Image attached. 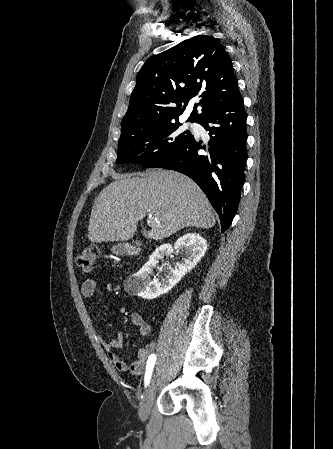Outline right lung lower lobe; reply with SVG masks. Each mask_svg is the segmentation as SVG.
<instances>
[{
    "mask_svg": "<svg viewBox=\"0 0 333 449\" xmlns=\"http://www.w3.org/2000/svg\"><path fill=\"white\" fill-rule=\"evenodd\" d=\"M246 119L241 94L222 101L198 121L210 140L191 139L156 168L171 169L193 179L219 214L221 231L229 228L237 211L247 160Z\"/></svg>",
    "mask_w": 333,
    "mask_h": 449,
    "instance_id": "right-lung-lower-lobe-1",
    "label": "right lung lower lobe"
}]
</instances>
